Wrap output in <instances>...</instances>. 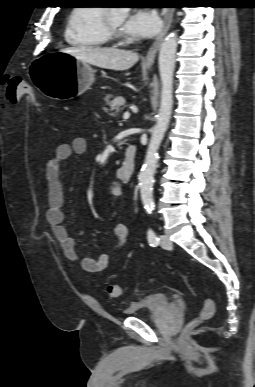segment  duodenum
I'll use <instances>...</instances> for the list:
<instances>
[{
	"label": "duodenum",
	"instance_id": "obj_1",
	"mask_svg": "<svg viewBox=\"0 0 255 387\" xmlns=\"http://www.w3.org/2000/svg\"><path fill=\"white\" fill-rule=\"evenodd\" d=\"M137 149L133 143H129L122 164L117 169V176L122 182H129L136 167Z\"/></svg>",
	"mask_w": 255,
	"mask_h": 387
}]
</instances>
